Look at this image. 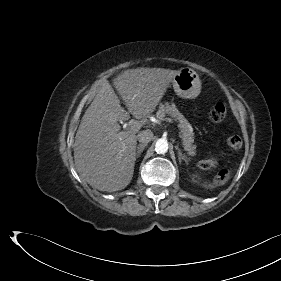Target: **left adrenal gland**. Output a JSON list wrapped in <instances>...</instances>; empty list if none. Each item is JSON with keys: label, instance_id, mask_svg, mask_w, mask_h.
Listing matches in <instances>:
<instances>
[{"label": "left adrenal gland", "instance_id": "1", "mask_svg": "<svg viewBox=\"0 0 281 281\" xmlns=\"http://www.w3.org/2000/svg\"><path fill=\"white\" fill-rule=\"evenodd\" d=\"M176 149L178 150V159H179V163L182 162V160L185 161L186 164H188L187 159L185 158V155L182 154L181 150L178 148V146L176 147Z\"/></svg>", "mask_w": 281, "mask_h": 281}]
</instances>
